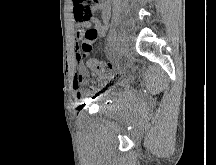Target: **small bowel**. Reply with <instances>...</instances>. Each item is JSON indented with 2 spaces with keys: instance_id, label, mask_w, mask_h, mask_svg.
I'll return each instance as SVG.
<instances>
[{
  "instance_id": "obj_1",
  "label": "small bowel",
  "mask_w": 216,
  "mask_h": 165,
  "mask_svg": "<svg viewBox=\"0 0 216 165\" xmlns=\"http://www.w3.org/2000/svg\"><path fill=\"white\" fill-rule=\"evenodd\" d=\"M73 2V14H74V20L76 23V38L78 41L84 40V32L89 29H95L97 32V35L94 39L90 41V44L99 37L103 36L107 31V19H108V9L103 4V0H93V2H81L80 0H72ZM99 10L104 11V21L100 22L96 18L89 17L88 19H83L81 17V13H94ZM93 26V27H92ZM82 77L81 76H75V80L73 82V89L77 96V98H80L81 90H80V84L82 83Z\"/></svg>"
}]
</instances>
